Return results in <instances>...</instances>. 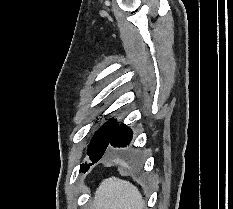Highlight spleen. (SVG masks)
Returning <instances> with one entry per match:
<instances>
[{"label":"spleen","instance_id":"3e777b00","mask_svg":"<svg viewBox=\"0 0 233 209\" xmlns=\"http://www.w3.org/2000/svg\"><path fill=\"white\" fill-rule=\"evenodd\" d=\"M95 209H143L144 200L136 186L116 177L105 179L96 190Z\"/></svg>","mask_w":233,"mask_h":209}]
</instances>
